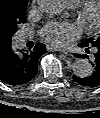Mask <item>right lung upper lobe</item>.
Here are the masks:
<instances>
[{
	"label": "right lung upper lobe",
	"mask_w": 100,
	"mask_h": 118,
	"mask_svg": "<svg viewBox=\"0 0 100 118\" xmlns=\"http://www.w3.org/2000/svg\"><path fill=\"white\" fill-rule=\"evenodd\" d=\"M28 0H0V51L11 46V37L17 25L23 22L20 14Z\"/></svg>",
	"instance_id": "cb5924a9"
}]
</instances>
